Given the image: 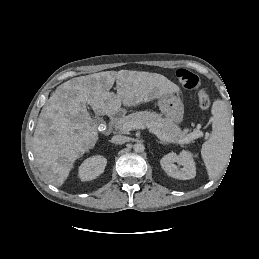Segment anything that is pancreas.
I'll use <instances>...</instances> for the list:
<instances>
[{
  "label": "pancreas",
  "instance_id": "pancreas-1",
  "mask_svg": "<svg viewBox=\"0 0 259 259\" xmlns=\"http://www.w3.org/2000/svg\"><path fill=\"white\" fill-rule=\"evenodd\" d=\"M128 122H140L144 127L156 128L161 133L165 134L171 141L176 143L188 138V136L192 133L195 134L197 132H201L199 129H196L191 133H188L187 129L182 131L179 126L172 120L164 118L161 114L150 111H140L123 116L117 120L115 123V128L119 130L120 133L126 134L128 131L124 130L123 126ZM196 138L198 137L190 139L188 142H182L180 144L192 142Z\"/></svg>",
  "mask_w": 259,
  "mask_h": 259
}]
</instances>
